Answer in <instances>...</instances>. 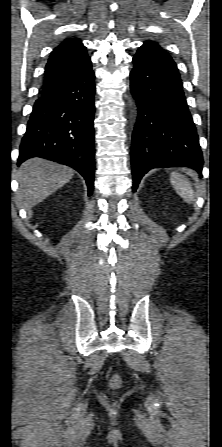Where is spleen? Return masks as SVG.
<instances>
[{
	"instance_id": "spleen-1",
	"label": "spleen",
	"mask_w": 222,
	"mask_h": 447,
	"mask_svg": "<svg viewBox=\"0 0 222 447\" xmlns=\"http://www.w3.org/2000/svg\"><path fill=\"white\" fill-rule=\"evenodd\" d=\"M170 181L175 188L176 192L187 203H191L194 200V192L190 182L183 175L173 172L171 173Z\"/></svg>"
}]
</instances>
